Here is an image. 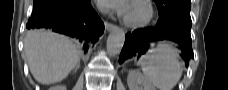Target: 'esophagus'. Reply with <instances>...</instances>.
I'll return each instance as SVG.
<instances>
[{
	"label": "esophagus",
	"instance_id": "1",
	"mask_svg": "<svg viewBox=\"0 0 228 90\" xmlns=\"http://www.w3.org/2000/svg\"><path fill=\"white\" fill-rule=\"evenodd\" d=\"M105 28L107 31H113V30H116L117 29V26L112 24V23H106L105 24Z\"/></svg>",
	"mask_w": 228,
	"mask_h": 90
}]
</instances>
